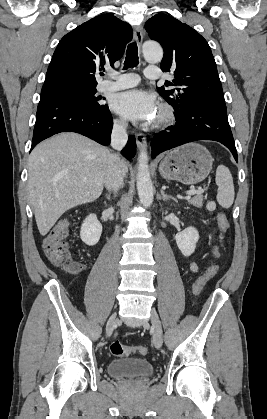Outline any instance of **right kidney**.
Here are the masks:
<instances>
[{"label": "right kidney", "mask_w": 267, "mask_h": 419, "mask_svg": "<svg viewBox=\"0 0 267 419\" xmlns=\"http://www.w3.org/2000/svg\"><path fill=\"white\" fill-rule=\"evenodd\" d=\"M102 233V225L98 221L95 214H90L85 218L82 223L80 230L81 240L89 245L93 246L98 243Z\"/></svg>", "instance_id": "ca27d5eb"}]
</instances>
